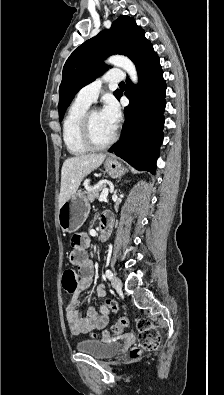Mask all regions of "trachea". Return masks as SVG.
I'll return each instance as SVG.
<instances>
[{"instance_id":"3493384b","label":"trachea","mask_w":224,"mask_h":395,"mask_svg":"<svg viewBox=\"0 0 224 395\" xmlns=\"http://www.w3.org/2000/svg\"><path fill=\"white\" fill-rule=\"evenodd\" d=\"M119 85H120V86H123V85H125V83H124V82H120Z\"/></svg>"}]
</instances>
